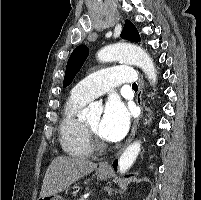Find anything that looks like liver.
Wrapping results in <instances>:
<instances>
[{
  "label": "liver",
  "mask_w": 201,
  "mask_h": 200,
  "mask_svg": "<svg viewBox=\"0 0 201 200\" xmlns=\"http://www.w3.org/2000/svg\"><path fill=\"white\" fill-rule=\"evenodd\" d=\"M96 167V163L81 157H56L45 173L40 197L62 192Z\"/></svg>",
  "instance_id": "1"
}]
</instances>
